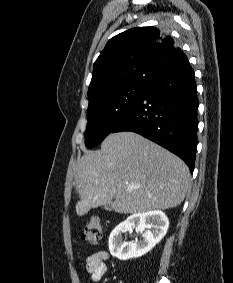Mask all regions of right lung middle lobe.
Instances as JSON below:
<instances>
[{
	"label": "right lung middle lobe",
	"mask_w": 233,
	"mask_h": 283,
	"mask_svg": "<svg viewBox=\"0 0 233 283\" xmlns=\"http://www.w3.org/2000/svg\"><path fill=\"white\" fill-rule=\"evenodd\" d=\"M148 84H130L112 90L89 103L85 132L87 147H95L128 114Z\"/></svg>",
	"instance_id": "dd1d6c3e"
}]
</instances>
